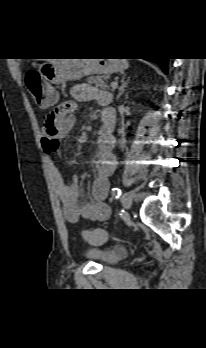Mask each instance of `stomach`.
<instances>
[{
	"instance_id": "obj_1",
	"label": "stomach",
	"mask_w": 206,
	"mask_h": 348,
	"mask_svg": "<svg viewBox=\"0 0 206 348\" xmlns=\"http://www.w3.org/2000/svg\"><path fill=\"white\" fill-rule=\"evenodd\" d=\"M126 67V61L121 59H66L61 62L43 63L39 67V73L47 81L59 85L93 74L108 76L121 72ZM57 101V96L48 97L44 93L35 97L36 104L42 109L54 105Z\"/></svg>"
}]
</instances>
